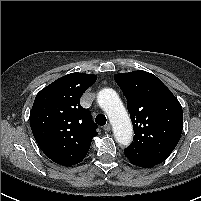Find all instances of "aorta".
Instances as JSON below:
<instances>
[{"mask_svg": "<svg viewBox=\"0 0 201 201\" xmlns=\"http://www.w3.org/2000/svg\"><path fill=\"white\" fill-rule=\"evenodd\" d=\"M97 101L109 117L116 141L122 145H129L132 140L133 128L116 91L111 88L100 90Z\"/></svg>", "mask_w": 201, "mask_h": 201, "instance_id": "762f6f07", "label": "aorta"}]
</instances>
